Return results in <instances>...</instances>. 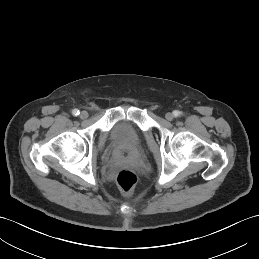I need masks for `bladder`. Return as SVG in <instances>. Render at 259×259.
Returning a JSON list of instances; mask_svg holds the SVG:
<instances>
[{
	"mask_svg": "<svg viewBox=\"0 0 259 259\" xmlns=\"http://www.w3.org/2000/svg\"><path fill=\"white\" fill-rule=\"evenodd\" d=\"M109 141L112 149L121 156H130L141 145V134L128 121L116 123L109 135Z\"/></svg>",
	"mask_w": 259,
	"mask_h": 259,
	"instance_id": "bladder-1",
	"label": "bladder"
}]
</instances>
